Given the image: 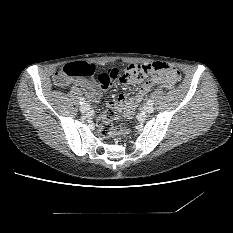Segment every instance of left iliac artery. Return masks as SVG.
I'll list each match as a JSON object with an SVG mask.
<instances>
[{
    "label": "left iliac artery",
    "mask_w": 233,
    "mask_h": 233,
    "mask_svg": "<svg viewBox=\"0 0 233 233\" xmlns=\"http://www.w3.org/2000/svg\"><path fill=\"white\" fill-rule=\"evenodd\" d=\"M147 104H148V105H153V101H152V100H148V101H147Z\"/></svg>",
    "instance_id": "left-iliac-artery-1"
}]
</instances>
